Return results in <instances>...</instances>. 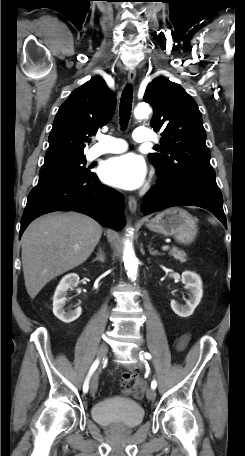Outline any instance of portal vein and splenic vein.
<instances>
[{
	"mask_svg": "<svg viewBox=\"0 0 245 456\" xmlns=\"http://www.w3.org/2000/svg\"><path fill=\"white\" fill-rule=\"evenodd\" d=\"M169 248H170V247H169L168 245H165V246L162 247V250H163V251H167V250H169Z\"/></svg>",
	"mask_w": 245,
	"mask_h": 456,
	"instance_id": "portal-vein-and-splenic-vein-1",
	"label": "portal vein and splenic vein"
}]
</instances>
